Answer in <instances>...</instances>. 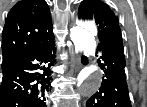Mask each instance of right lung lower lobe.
Instances as JSON below:
<instances>
[{
  "label": "right lung lower lobe",
  "mask_w": 147,
  "mask_h": 107,
  "mask_svg": "<svg viewBox=\"0 0 147 107\" xmlns=\"http://www.w3.org/2000/svg\"><path fill=\"white\" fill-rule=\"evenodd\" d=\"M55 51L53 35L2 66L0 107H47Z\"/></svg>",
  "instance_id": "obj_1"
}]
</instances>
